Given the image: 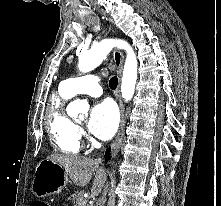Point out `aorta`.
Instances as JSON below:
<instances>
[{"label": "aorta", "mask_w": 221, "mask_h": 206, "mask_svg": "<svg viewBox=\"0 0 221 206\" xmlns=\"http://www.w3.org/2000/svg\"><path fill=\"white\" fill-rule=\"evenodd\" d=\"M113 47L124 49L127 52L121 82V93L122 97L128 101L134 95L138 62L133 49L126 41L120 39H104L94 44L89 50L80 53L78 68L82 73H87L95 69L107 57ZM88 109L89 104L86 101L77 99L70 103L68 113L84 114ZM82 116L83 115H81V117Z\"/></svg>", "instance_id": "1"}]
</instances>
